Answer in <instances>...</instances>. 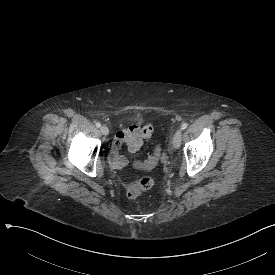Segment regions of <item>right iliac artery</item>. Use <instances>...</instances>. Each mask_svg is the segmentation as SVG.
<instances>
[{
    "instance_id": "obj_1",
    "label": "right iliac artery",
    "mask_w": 275,
    "mask_h": 275,
    "mask_svg": "<svg viewBox=\"0 0 275 275\" xmlns=\"http://www.w3.org/2000/svg\"><path fill=\"white\" fill-rule=\"evenodd\" d=\"M96 127L97 128H100L101 127V124L99 122L96 123Z\"/></svg>"
}]
</instances>
